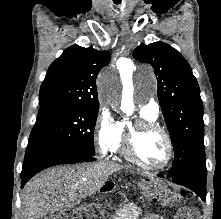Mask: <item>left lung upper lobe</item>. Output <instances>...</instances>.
<instances>
[{
	"label": "left lung upper lobe",
	"instance_id": "1",
	"mask_svg": "<svg viewBox=\"0 0 221 219\" xmlns=\"http://www.w3.org/2000/svg\"><path fill=\"white\" fill-rule=\"evenodd\" d=\"M133 57L150 63L157 76L158 99L175 153L170 177L206 166L203 102L187 61L163 42L140 45Z\"/></svg>",
	"mask_w": 221,
	"mask_h": 219
}]
</instances>
